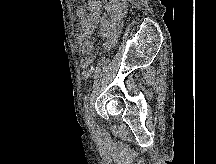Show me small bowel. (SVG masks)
<instances>
[{
	"mask_svg": "<svg viewBox=\"0 0 216 164\" xmlns=\"http://www.w3.org/2000/svg\"><path fill=\"white\" fill-rule=\"evenodd\" d=\"M106 9L109 16L103 18L101 0H85L77 10L80 19V34L76 41V46L80 53L84 55L82 63H91V54L94 43L90 39L100 24L107 37L106 46H111L121 27L126 13V0H106Z\"/></svg>",
	"mask_w": 216,
	"mask_h": 164,
	"instance_id": "small-bowel-1",
	"label": "small bowel"
}]
</instances>
